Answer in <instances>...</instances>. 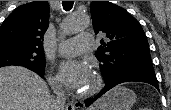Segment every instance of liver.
I'll return each instance as SVG.
<instances>
[{
	"label": "liver",
	"instance_id": "1",
	"mask_svg": "<svg viewBox=\"0 0 171 110\" xmlns=\"http://www.w3.org/2000/svg\"><path fill=\"white\" fill-rule=\"evenodd\" d=\"M97 101L91 110L102 105ZM0 110H55L45 81L20 66L0 68Z\"/></svg>",
	"mask_w": 171,
	"mask_h": 110
}]
</instances>
